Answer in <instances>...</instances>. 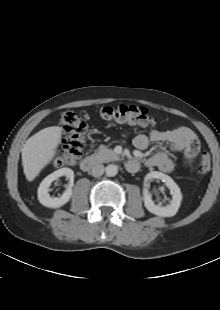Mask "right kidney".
Returning a JSON list of instances; mask_svg holds the SVG:
<instances>
[{
  "label": "right kidney",
  "instance_id": "right-kidney-1",
  "mask_svg": "<svg viewBox=\"0 0 220 310\" xmlns=\"http://www.w3.org/2000/svg\"><path fill=\"white\" fill-rule=\"evenodd\" d=\"M61 176H66L69 180L67 188L65 192L59 197H50L49 195V187L54 180H57ZM74 185V172L70 168H61L57 171H54L50 175H48L44 180L40 183L38 188V200L39 202L49 208H59L65 205L72 196V187Z\"/></svg>",
  "mask_w": 220,
  "mask_h": 310
}]
</instances>
